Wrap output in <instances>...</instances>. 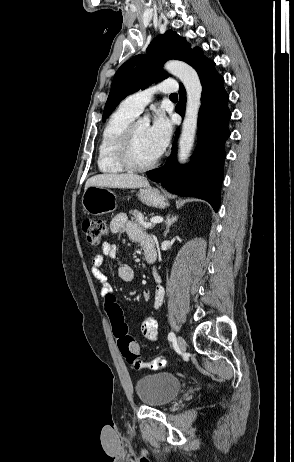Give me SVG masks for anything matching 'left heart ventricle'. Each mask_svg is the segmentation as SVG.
Segmentation results:
<instances>
[{
    "mask_svg": "<svg viewBox=\"0 0 294 462\" xmlns=\"http://www.w3.org/2000/svg\"><path fill=\"white\" fill-rule=\"evenodd\" d=\"M149 127L139 123L136 127L133 141V157L139 164H145L158 156L154 144L149 136Z\"/></svg>",
    "mask_w": 294,
    "mask_h": 462,
    "instance_id": "b2bd125f",
    "label": "left heart ventricle"
}]
</instances>
